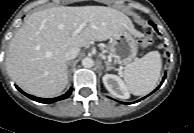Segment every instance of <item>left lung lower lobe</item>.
<instances>
[{"label":"left lung lower lobe","instance_id":"obj_1","mask_svg":"<svg viewBox=\"0 0 194 133\" xmlns=\"http://www.w3.org/2000/svg\"><path fill=\"white\" fill-rule=\"evenodd\" d=\"M153 27H154V29L156 30L157 29V27H156V25L154 24V23H152V22H149ZM163 81H164V79H163ZM160 87V86H159ZM145 97H143V99H144ZM136 102H138V101H136ZM125 104H129V103H125Z\"/></svg>","mask_w":194,"mask_h":133}]
</instances>
